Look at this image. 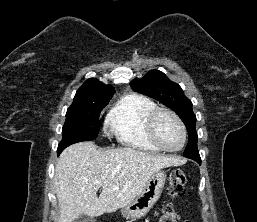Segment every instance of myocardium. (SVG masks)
<instances>
[{"label": "myocardium", "instance_id": "1", "mask_svg": "<svg viewBox=\"0 0 257 222\" xmlns=\"http://www.w3.org/2000/svg\"><path fill=\"white\" fill-rule=\"evenodd\" d=\"M161 114L170 115L171 117L174 118V120L179 125L181 133H182V142L179 147L174 148V149L168 148L165 145H163V143L159 140L157 133H156L155 126H156L157 119L159 118V116ZM146 131H147V134H148L150 140L160 150L165 151V152H170V153L178 152L183 149V147L185 146L186 141H187V130H186L184 122L182 121V119L179 117V115L176 112H174L173 110H171L169 108L158 107L154 111H152L147 118Z\"/></svg>", "mask_w": 257, "mask_h": 222}]
</instances>
